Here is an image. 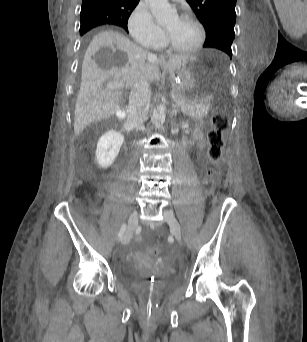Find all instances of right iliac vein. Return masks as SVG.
<instances>
[{
	"label": "right iliac vein",
	"mask_w": 307,
	"mask_h": 342,
	"mask_svg": "<svg viewBox=\"0 0 307 342\" xmlns=\"http://www.w3.org/2000/svg\"><path fill=\"white\" fill-rule=\"evenodd\" d=\"M138 227V214L137 211H133L128 219V225L126 229V233L122 239V243L126 244L133 236L134 231Z\"/></svg>",
	"instance_id": "obj_1"
}]
</instances>
